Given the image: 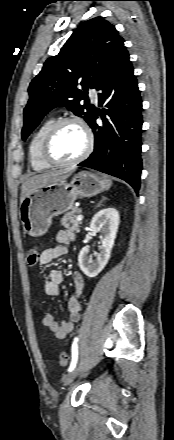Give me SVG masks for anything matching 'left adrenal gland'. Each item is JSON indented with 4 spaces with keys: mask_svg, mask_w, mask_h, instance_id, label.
Returning <instances> with one entry per match:
<instances>
[{
    "mask_svg": "<svg viewBox=\"0 0 174 440\" xmlns=\"http://www.w3.org/2000/svg\"><path fill=\"white\" fill-rule=\"evenodd\" d=\"M104 200H106V198H105V197H102L101 201H99V203L97 204V207L100 206L101 203H102Z\"/></svg>",
    "mask_w": 174,
    "mask_h": 440,
    "instance_id": "obj_1",
    "label": "left adrenal gland"
}]
</instances>
